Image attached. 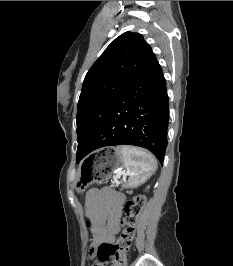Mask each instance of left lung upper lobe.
<instances>
[{
  "mask_svg": "<svg viewBox=\"0 0 233 266\" xmlns=\"http://www.w3.org/2000/svg\"><path fill=\"white\" fill-rule=\"evenodd\" d=\"M153 55L139 33L116 38L85 76L77 110V157L89 146L110 110Z\"/></svg>",
  "mask_w": 233,
  "mask_h": 266,
  "instance_id": "5c2ea615",
  "label": "left lung upper lobe"
}]
</instances>
